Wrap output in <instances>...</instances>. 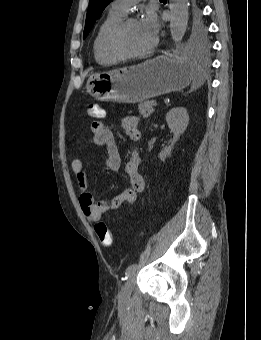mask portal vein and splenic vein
<instances>
[{"mask_svg": "<svg viewBox=\"0 0 261 340\" xmlns=\"http://www.w3.org/2000/svg\"><path fill=\"white\" fill-rule=\"evenodd\" d=\"M157 105H158V103L155 101V102L153 103V106L156 107Z\"/></svg>", "mask_w": 261, "mask_h": 340, "instance_id": "1", "label": "portal vein and splenic vein"}]
</instances>
